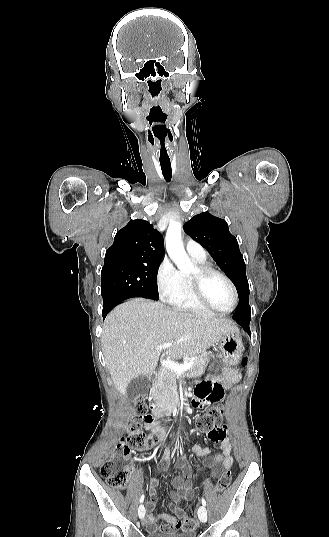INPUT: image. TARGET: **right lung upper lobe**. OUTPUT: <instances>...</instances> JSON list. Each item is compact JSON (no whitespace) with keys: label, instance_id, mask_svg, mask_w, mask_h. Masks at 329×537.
<instances>
[{"label":"right lung upper lobe","instance_id":"obj_1","mask_svg":"<svg viewBox=\"0 0 329 537\" xmlns=\"http://www.w3.org/2000/svg\"><path fill=\"white\" fill-rule=\"evenodd\" d=\"M164 240L148 221L131 220L119 230L113 245L106 251L104 266L161 261Z\"/></svg>","mask_w":329,"mask_h":537}]
</instances>
